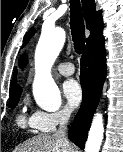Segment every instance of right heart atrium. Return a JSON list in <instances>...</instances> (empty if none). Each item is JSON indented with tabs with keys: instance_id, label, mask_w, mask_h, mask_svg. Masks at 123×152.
<instances>
[{
	"instance_id": "obj_1",
	"label": "right heart atrium",
	"mask_w": 123,
	"mask_h": 152,
	"mask_svg": "<svg viewBox=\"0 0 123 152\" xmlns=\"http://www.w3.org/2000/svg\"><path fill=\"white\" fill-rule=\"evenodd\" d=\"M71 116L69 108H62L54 112L37 110L31 115L32 128L39 132H51L58 125L66 122Z\"/></svg>"
}]
</instances>
